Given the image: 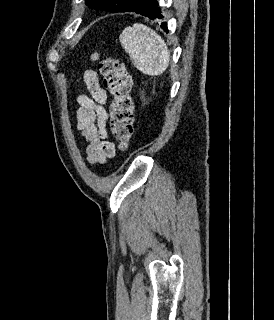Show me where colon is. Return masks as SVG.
I'll return each mask as SVG.
<instances>
[{
    "label": "colon",
    "mask_w": 274,
    "mask_h": 320,
    "mask_svg": "<svg viewBox=\"0 0 274 320\" xmlns=\"http://www.w3.org/2000/svg\"><path fill=\"white\" fill-rule=\"evenodd\" d=\"M89 59L99 65L104 86L112 97L110 128L122 150L130 147L134 134V107L130 96L132 79L126 65L119 59L98 51Z\"/></svg>",
    "instance_id": "obj_1"
}]
</instances>
